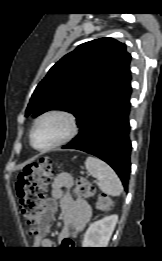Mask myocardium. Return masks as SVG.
I'll return each instance as SVG.
<instances>
[{
    "instance_id": "myocardium-1",
    "label": "myocardium",
    "mask_w": 162,
    "mask_h": 261,
    "mask_svg": "<svg viewBox=\"0 0 162 261\" xmlns=\"http://www.w3.org/2000/svg\"><path fill=\"white\" fill-rule=\"evenodd\" d=\"M51 117L60 118L66 123L65 132L63 133V135L60 138H58L56 141L49 144L48 146H45V147L35 146L34 141H33L35 129L43 120H45L47 118H51ZM77 131H78V125H77L76 118L73 114H71L68 111L60 110V109L49 110V111L42 113L41 115H39L36 118L32 128L30 130V135H29L30 144L37 151H41V152L50 151L52 149H55L59 146L66 144L67 142H69L77 134Z\"/></svg>"
}]
</instances>
